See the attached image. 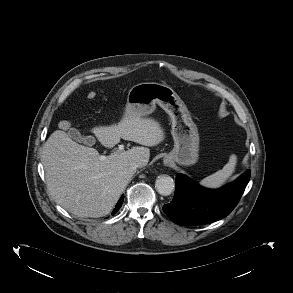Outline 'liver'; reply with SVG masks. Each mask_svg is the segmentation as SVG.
<instances>
[{
  "label": "liver",
  "instance_id": "1",
  "mask_svg": "<svg viewBox=\"0 0 293 293\" xmlns=\"http://www.w3.org/2000/svg\"><path fill=\"white\" fill-rule=\"evenodd\" d=\"M92 132L107 148L120 139L143 146L158 145L165 138L153 119L123 116L118 124L94 127ZM132 147L100 160L94 148L80 145L64 131H54L43 146L42 163L47 187L55 202L78 217H102L110 213L132 179L131 162L147 165L150 150Z\"/></svg>",
  "mask_w": 293,
  "mask_h": 293
}]
</instances>
